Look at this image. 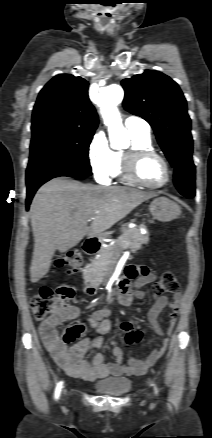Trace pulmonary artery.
<instances>
[{
  "instance_id": "1",
  "label": "pulmonary artery",
  "mask_w": 212,
  "mask_h": 438,
  "mask_svg": "<svg viewBox=\"0 0 212 438\" xmlns=\"http://www.w3.org/2000/svg\"><path fill=\"white\" fill-rule=\"evenodd\" d=\"M124 125L129 132L141 134V135H150V131H151L150 125L139 116H135V115L127 116Z\"/></svg>"
}]
</instances>
